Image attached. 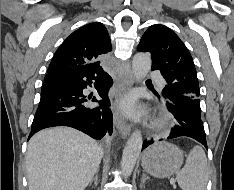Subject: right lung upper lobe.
Returning a JSON list of instances; mask_svg holds the SVG:
<instances>
[{
  "label": "right lung upper lobe",
  "mask_w": 234,
  "mask_h": 190,
  "mask_svg": "<svg viewBox=\"0 0 234 190\" xmlns=\"http://www.w3.org/2000/svg\"><path fill=\"white\" fill-rule=\"evenodd\" d=\"M112 51L107 29L100 22L87 24L70 34L55 52L48 74L69 67L99 62Z\"/></svg>",
  "instance_id": "cb5924a9"
}]
</instances>
